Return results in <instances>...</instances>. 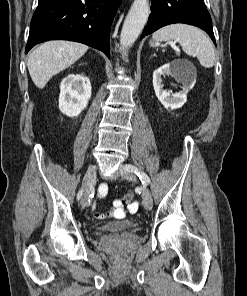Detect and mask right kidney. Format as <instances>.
Listing matches in <instances>:
<instances>
[{
    "label": "right kidney",
    "mask_w": 247,
    "mask_h": 296,
    "mask_svg": "<svg viewBox=\"0 0 247 296\" xmlns=\"http://www.w3.org/2000/svg\"><path fill=\"white\" fill-rule=\"evenodd\" d=\"M91 98V83L88 77L69 74L60 84L59 109L69 116H78Z\"/></svg>",
    "instance_id": "1"
}]
</instances>
